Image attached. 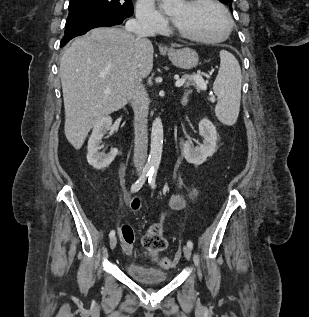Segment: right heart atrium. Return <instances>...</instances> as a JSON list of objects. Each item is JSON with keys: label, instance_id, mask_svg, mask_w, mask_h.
<instances>
[{"label": "right heart atrium", "instance_id": "right-heart-atrium-1", "mask_svg": "<svg viewBox=\"0 0 309 317\" xmlns=\"http://www.w3.org/2000/svg\"><path fill=\"white\" fill-rule=\"evenodd\" d=\"M136 21L147 32H158L167 27L164 16L155 8L153 0H138L135 9Z\"/></svg>", "mask_w": 309, "mask_h": 317}]
</instances>
